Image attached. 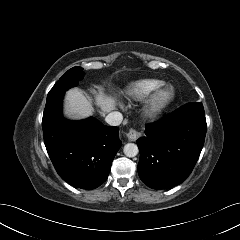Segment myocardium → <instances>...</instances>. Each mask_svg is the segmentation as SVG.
Instances as JSON below:
<instances>
[{
    "label": "myocardium",
    "instance_id": "obj_1",
    "mask_svg": "<svg viewBox=\"0 0 240 240\" xmlns=\"http://www.w3.org/2000/svg\"><path fill=\"white\" fill-rule=\"evenodd\" d=\"M175 91L171 86H161L154 90L145 102V110L150 115L165 111L174 101Z\"/></svg>",
    "mask_w": 240,
    "mask_h": 240
}]
</instances>
